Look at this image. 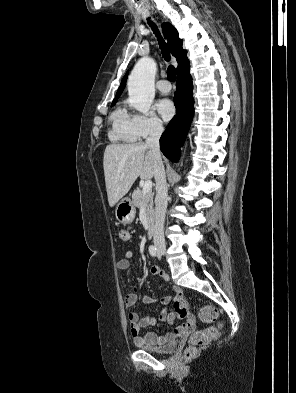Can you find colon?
<instances>
[{
  "instance_id": "1",
  "label": "colon",
  "mask_w": 296,
  "mask_h": 393,
  "mask_svg": "<svg viewBox=\"0 0 296 393\" xmlns=\"http://www.w3.org/2000/svg\"><path fill=\"white\" fill-rule=\"evenodd\" d=\"M116 237L121 241H128L130 236L126 229L117 228L115 230ZM175 314L179 318H187L189 316L188 303L184 299H177L174 304ZM199 318L203 322L216 323L218 321V311L213 305H205L199 311ZM221 326L219 324L212 325L204 330L194 332L190 338V347L186 350V355H192L196 349L208 344V342L215 338L220 332Z\"/></svg>"
}]
</instances>
